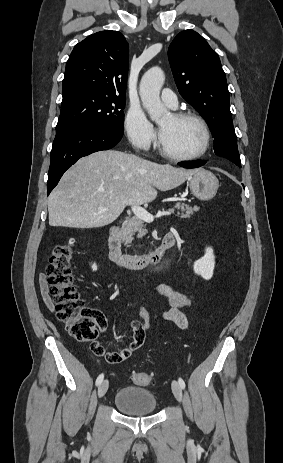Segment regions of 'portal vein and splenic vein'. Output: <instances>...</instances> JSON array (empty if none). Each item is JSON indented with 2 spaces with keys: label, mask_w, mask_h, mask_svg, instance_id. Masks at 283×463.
Instances as JSON below:
<instances>
[{
  "label": "portal vein and splenic vein",
  "mask_w": 283,
  "mask_h": 463,
  "mask_svg": "<svg viewBox=\"0 0 283 463\" xmlns=\"http://www.w3.org/2000/svg\"><path fill=\"white\" fill-rule=\"evenodd\" d=\"M133 213L140 219L144 220L145 222H152L154 220L155 217H161V216H164V215H171V212L169 211H162V212H158L156 214V216H153L152 214H150L147 210H145L143 207L139 206V205H133L131 207Z\"/></svg>",
  "instance_id": "1"
}]
</instances>
